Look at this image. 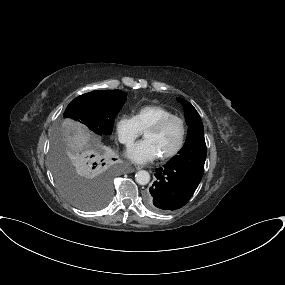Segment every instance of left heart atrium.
<instances>
[{"label":"left heart atrium","instance_id":"left-heart-atrium-1","mask_svg":"<svg viewBox=\"0 0 285 285\" xmlns=\"http://www.w3.org/2000/svg\"><path fill=\"white\" fill-rule=\"evenodd\" d=\"M127 157L137 164H146L155 160L159 155L149 140H142L126 151Z\"/></svg>","mask_w":285,"mask_h":285}]
</instances>
